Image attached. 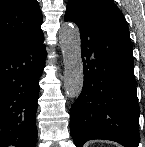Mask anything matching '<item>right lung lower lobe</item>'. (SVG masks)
<instances>
[{"instance_id":"98d812e1","label":"right lung lower lobe","mask_w":145,"mask_h":147,"mask_svg":"<svg viewBox=\"0 0 145 147\" xmlns=\"http://www.w3.org/2000/svg\"><path fill=\"white\" fill-rule=\"evenodd\" d=\"M43 33L0 51V147H35Z\"/></svg>"}]
</instances>
